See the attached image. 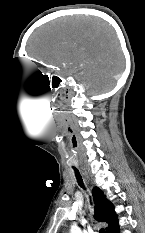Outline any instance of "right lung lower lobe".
I'll list each match as a JSON object with an SVG mask.
<instances>
[{"label":"right lung lower lobe","instance_id":"1","mask_svg":"<svg viewBox=\"0 0 145 233\" xmlns=\"http://www.w3.org/2000/svg\"><path fill=\"white\" fill-rule=\"evenodd\" d=\"M119 232V226L118 223L114 225L108 233H118Z\"/></svg>","mask_w":145,"mask_h":233}]
</instances>
